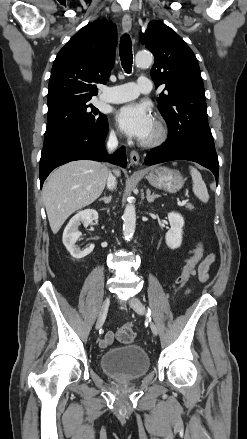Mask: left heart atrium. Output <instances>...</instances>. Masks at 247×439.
Masks as SVG:
<instances>
[{
  "label": "left heart atrium",
  "mask_w": 247,
  "mask_h": 439,
  "mask_svg": "<svg viewBox=\"0 0 247 439\" xmlns=\"http://www.w3.org/2000/svg\"><path fill=\"white\" fill-rule=\"evenodd\" d=\"M116 120L126 135L140 141L147 139L154 126L150 109L144 103L121 107L116 113Z\"/></svg>",
  "instance_id": "1"
}]
</instances>
